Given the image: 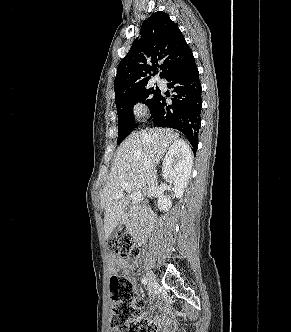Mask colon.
Listing matches in <instances>:
<instances>
[{"label": "colon", "instance_id": "obj_1", "mask_svg": "<svg viewBox=\"0 0 291 332\" xmlns=\"http://www.w3.org/2000/svg\"><path fill=\"white\" fill-rule=\"evenodd\" d=\"M108 249L119 257L133 259L138 246L129 233H118L107 239ZM111 332H156L155 325L142 317L143 302L134 294L132 283L123 276L114 275L109 281Z\"/></svg>", "mask_w": 291, "mask_h": 332}]
</instances>
